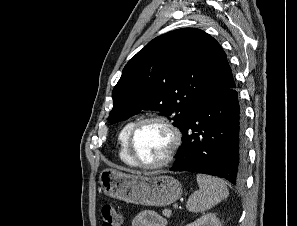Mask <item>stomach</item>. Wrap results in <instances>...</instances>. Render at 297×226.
Listing matches in <instances>:
<instances>
[{
	"label": "stomach",
	"instance_id": "0dacf381",
	"mask_svg": "<svg viewBox=\"0 0 297 226\" xmlns=\"http://www.w3.org/2000/svg\"><path fill=\"white\" fill-rule=\"evenodd\" d=\"M104 193L128 203L146 206H166L182 195V185L167 175H129L105 169L99 175Z\"/></svg>",
	"mask_w": 297,
	"mask_h": 226
}]
</instances>
